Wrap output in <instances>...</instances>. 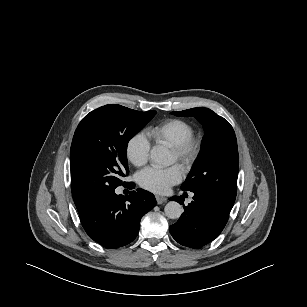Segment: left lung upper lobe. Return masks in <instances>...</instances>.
<instances>
[{
    "instance_id": "1",
    "label": "left lung upper lobe",
    "mask_w": 307,
    "mask_h": 307,
    "mask_svg": "<svg viewBox=\"0 0 307 307\" xmlns=\"http://www.w3.org/2000/svg\"><path fill=\"white\" fill-rule=\"evenodd\" d=\"M171 114L194 116L206 131L198 158L181 189L207 194L231 210L236 198L239 168L237 140L232 126L208 108Z\"/></svg>"
}]
</instances>
